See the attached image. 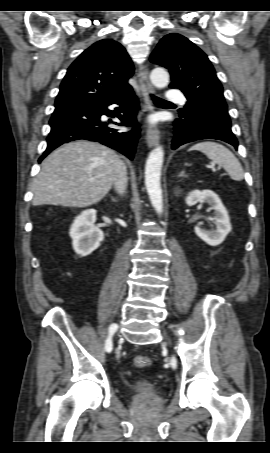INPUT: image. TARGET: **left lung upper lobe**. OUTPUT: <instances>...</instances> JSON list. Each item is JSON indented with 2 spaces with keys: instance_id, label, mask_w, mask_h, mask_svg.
Segmentation results:
<instances>
[{
  "instance_id": "5c2ea615",
  "label": "left lung upper lobe",
  "mask_w": 270,
  "mask_h": 453,
  "mask_svg": "<svg viewBox=\"0 0 270 453\" xmlns=\"http://www.w3.org/2000/svg\"><path fill=\"white\" fill-rule=\"evenodd\" d=\"M151 62L167 68L171 88L180 89L187 98L181 115L191 108L205 111L231 126L223 88L207 55L186 37L171 33L163 37L150 57Z\"/></svg>"
}]
</instances>
